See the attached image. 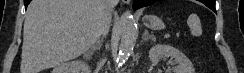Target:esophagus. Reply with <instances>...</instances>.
Masks as SVG:
<instances>
[{"label":"esophagus","instance_id":"1","mask_svg":"<svg viewBox=\"0 0 244 73\" xmlns=\"http://www.w3.org/2000/svg\"><path fill=\"white\" fill-rule=\"evenodd\" d=\"M123 3L128 4L130 0H122Z\"/></svg>","mask_w":244,"mask_h":73}]
</instances>
